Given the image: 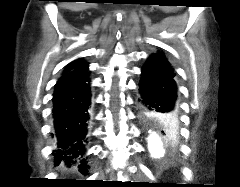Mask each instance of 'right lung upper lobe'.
<instances>
[{
  "mask_svg": "<svg viewBox=\"0 0 240 187\" xmlns=\"http://www.w3.org/2000/svg\"><path fill=\"white\" fill-rule=\"evenodd\" d=\"M84 63H86V62H84V61H82V60H80V59H77V60L71 62L70 64H68V65L65 67L63 73H66V72H68V71L74 69L75 67H77V66H79V65H81V64H84Z\"/></svg>",
  "mask_w": 240,
  "mask_h": 187,
  "instance_id": "cb5924a9",
  "label": "right lung upper lobe"
}]
</instances>
